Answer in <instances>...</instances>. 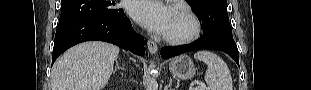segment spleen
I'll return each mask as SVG.
<instances>
[{
	"label": "spleen",
	"instance_id": "3e777b00",
	"mask_svg": "<svg viewBox=\"0 0 311 90\" xmlns=\"http://www.w3.org/2000/svg\"><path fill=\"white\" fill-rule=\"evenodd\" d=\"M194 58L207 65L205 81L210 90L233 89L229 68L222 58L209 51H199Z\"/></svg>",
	"mask_w": 311,
	"mask_h": 90
}]
</instances>
